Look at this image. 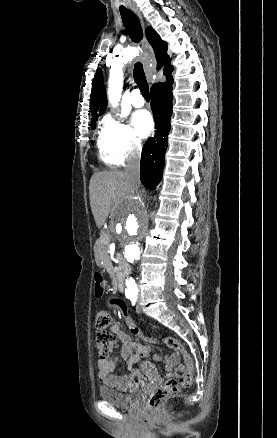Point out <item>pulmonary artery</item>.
Wrapping results in <instances>:
<instances>
[{
	"label": "pulmonary artery",
	"instance_id": "pulmonary-artery-1",
	"mask_svg": "<svg viewBox=\"0 0 277 438\" xmlns=\"http://www.w3.org/2000/svg\"><path fill=\"white\" fill-rule=\"evenodd\" d=\"M132 95L131 98L132 105L136 108H141L145 105V101L142 97L144 95V88L143 87H133L132 88Z\"/></svg>",
	"mask_w": 277,
	"mask_h": 438
}]
</instances>
